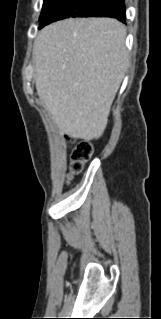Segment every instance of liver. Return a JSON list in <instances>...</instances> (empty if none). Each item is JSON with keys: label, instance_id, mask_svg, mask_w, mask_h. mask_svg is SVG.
Masks as SVG:
<instances>
[{"label": "liver", "instance_id": "obj_1", "mask_svg": "<svg viewBox=\"0 0 161 319\" xmlns=\"http://www.w3.org/2000/svg\"><path fill=\"white\" fill-rule=\"evenodd\" d=\"M125 38V26L111 18H71L38 33L36 90L60 132L86 141L102 136L128 67Z\"/></svg>", "mask_w": 161, "mask_h": 319}]
</instances>
